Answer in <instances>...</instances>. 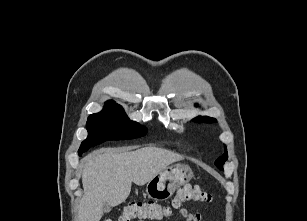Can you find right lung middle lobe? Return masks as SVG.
<instances>
[{"label": "right lung middle lobe", "mask_w": 307, "mask_h": 221, "mask_svg": "<svg viewBox=\"0 0 307 221\" xmlns=\"http://www.w3.org/2000/svg\"><path fill=\"white\" fill-rule=\"evenodd\" d=\"M88 137L79 148V155L90 147L108 140H127L144 136L145 127L131 121L118 104H106L104 109L88 117Z\"/></svg>", "instance_id": "dd1d6c3e"}]
</instances>
